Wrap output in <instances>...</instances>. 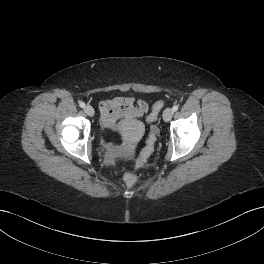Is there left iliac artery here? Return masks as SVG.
Listing matches in <instances>:
<instances>
[{
    "label": "left iliac artery",
    "mask_w": 264,
    "mask_h": 264,
    "mask_svg": "<svg viewBox=\"0 0 264 264\" xmlns=\"http://www.w3.org/2000/svg\"><path fill=\"white\" fill-rule=\"evenodd\" d=\"M178 108H179L178 105H174L172 109H173V111L175 112V111L178 110Z\"/></svg>",
    "instance_id": "44dca946"
}]
</instances>
